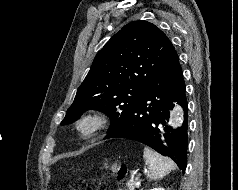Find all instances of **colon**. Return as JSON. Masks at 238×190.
<instances>
[{
  "mask_svg": "<svg viewBox=\"0 0 238 190\" xmlns=\"http://www.w3.org/2000/svg\"><path fill=\"white\" fill-rule=\"evenodd\" d=\"M109 169L111 170L115 178L119 181L124 180L128 174V168L123 163H112L111 165H109Z\"/></svg>",
  "mask_w": 238,
  "mask_h": 190,
  "instance_id": "colon-1",
  "label": "colon"
}]
</instances>
